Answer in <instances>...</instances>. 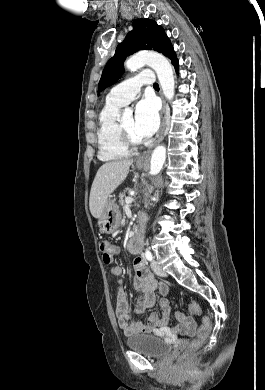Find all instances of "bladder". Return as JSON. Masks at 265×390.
I'll list each match as a JSON object with an SVG mask.
<instances>
[{
  "instance_id": "1",
  "label": "bladder",
  "mask_w": 265,
  "mask_h": 390,
  "mask_svg": "<svg viewBox=\"0 0 265 390\" xmlns=\"http://www.w3.org/2000/svg\"><path fill=\"white\" fill-rule=\"evenodd\" d=\"M127 347L145 356L160 358L171 350V345L164 339L148 334H139L126 340Z\"/></svg>"
}]
</instances>
